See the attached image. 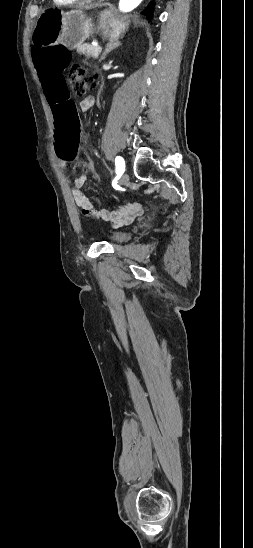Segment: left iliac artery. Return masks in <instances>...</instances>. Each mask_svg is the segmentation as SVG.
Returning a JSON list of instances; mask_svg holds the SVG:
<instances>
[{
	"mask_svg": "<svg viewBox=\"0 0 253 548\" xmlns=\"http://www.w3.org/2000/svg\"><path fill=\"white\" fill-rule=\"evenodd\" d=\"M115 165H116V173L117 174H123L125 170V162L124 159L121 156H117L115 158Z\"/></svg>",
	"mask_w": 253,
	"mask_h": 548,
	"instance_id": "1",
	"label": "left iliac artery"
}]
</instances>
